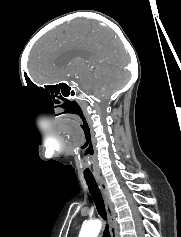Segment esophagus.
I'll return each instance as SVG.
<instances>
[{
    "mask_svg": "<svg viewBox=\"0 0 181 237\" xmlns=\"http://www.w3.org/2000/svg\"><path fill=\"white\" fill-rule=\"evenodd\" d=\"M97 182L99 184V188H100L102 196H103L105 209L107 212L109 225H110L111 237H118L117 236V222H116V217H115V213H114V209H113V204H112L110 194L108 191V187H107L105 181L102 179H97Z\"/></svg>",
    "mask_w": 181,
    "mask_h": 237,
    "instance_id": "obj_1",
    "label": "esophagus"
}]
</instances>
